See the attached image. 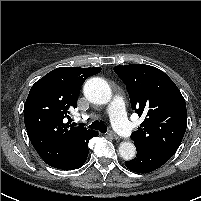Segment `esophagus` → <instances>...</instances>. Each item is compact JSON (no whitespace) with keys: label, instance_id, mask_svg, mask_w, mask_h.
Here are the masks:
<instances>
[{"label":"esophagus","instance_id":"34e87169","mask_svg":"<svg viewBox=\"0 0 201 201\" xmlns=\"http://www.w3.org/2000/svg\"><path fill=\"white\" fill-rule=\"evenodd\" d=\"M107 135H108V137H110L111 139H115V140H118V139H119L118 135H117L116 133H114L113 131H109V132L107 133Z\"/></svg>","mask_w":201,"mask_h":201}]
</instances>
